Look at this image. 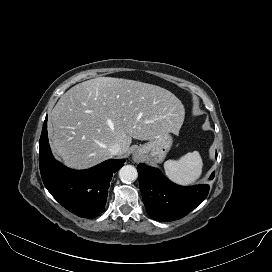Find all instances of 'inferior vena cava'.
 <instances>
[{"mask_svg": "<svg viewBox=\"0 0 272 272\" xmlns=\"http://www.w3.org/2000/svg\"><path fill=\"white\" fill-rule=\"evenodd\" d=\"M120 149H121L120 145L114 144L109 148V151L111 155H116L119 153Z\"/></svg>", "mask_w": 272, "mask_h": 272, "instance_id": "inferior-vena-cava-1", "label": "inferior vena cava"}]
</instances>
